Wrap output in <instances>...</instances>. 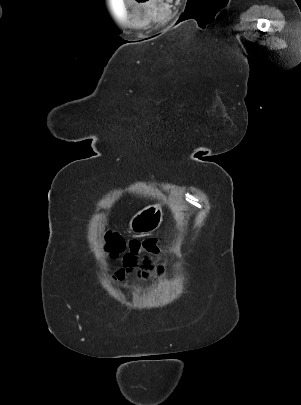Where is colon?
Returning <instances> with one entry per match:
<instances>
[{
  "label": "colon",
  "instance_id": "5ec220e1",
  "mask_svg": "<svg viewBox=\"0 0 301 405\" xmlns=\"http://www.w3.org/2000/svg\"><path fill=\"white\" fill-rule=\"evenodd\" d=\"M107 249L112 257L125 253V256H136L141 251H156L157 244L154 236L144 241H125L119 234L107 231L105 233Z\"/></svg>",
  "mask_w": 301,
  "mask_h": 405
}]
</instances>
